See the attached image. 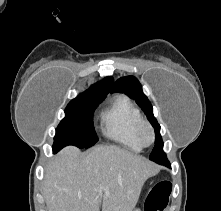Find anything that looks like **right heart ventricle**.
Wrapping results in <instances>:
<instances>
[{"label":"right heart ventricle","mask_w":221,"mask_h":211,"mask_svg":"<svg viewBox=\"0 0 221 211\" xmlns=\"http://www.w3.org/2000/svg\"><path fill=\"white\" fill-rule=\"evenodd\" d=\"M104 134L132 151H141L144 144L138 136L142 114L133 101L118 95L101 115Z\"/></svg>","instance_id":"right-heart-ventricle-1"}]
</instances>
